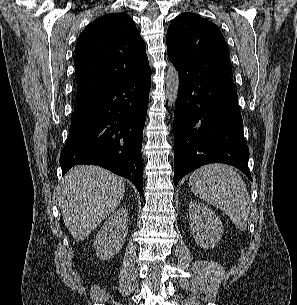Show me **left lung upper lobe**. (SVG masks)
Segmentation results:
<instances>
[{"instance_id": "left-lung-upper-lobe-1", "label": "left lung upper lobe", "mask_w": 297, "mask_h": 305, "mask_svg": "<svg viewBox=\"0 0 297 305\" xmlns=\"http://www.w3.org/2000/svg\"><path fill=\"white\" fill-rule=\"evenodd\" d=\"M166 42L176 68L194 76H231L225 39L207 19L192 13L178 15L168 28Z\"/></svg>"}]
</instances>
